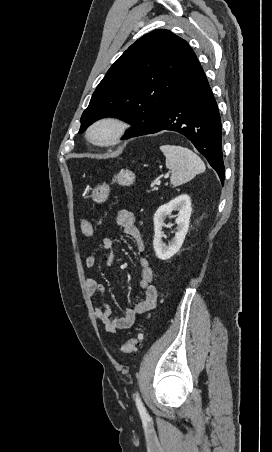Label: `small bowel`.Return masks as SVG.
Returning <instances> with one entry per match:
<instances>
[{
    "mask_svg": "<svg viewBox=\"0 0 272 452\" xmlns=\"http://www.w3.org/2000/svg\"><path fill=\"white\" fill-rule=\"evenodd\" d=\"M135 221L136 218L134 213L129 210H120L117 213L116 224L123 234L130 236L133 239L138 252V262L141 269L138 286L145 291V297L143 300L127 307L124 315L120 318H113L111 316L110 306L105 302H101V304L96 307L95 315L97 319L103 324L105 330L110 333L130 328L141 314L153 309L157 303L158 293L156 288L152 285L153 271L149 265L148 259L143 255L145 244ZM118 244L119 240L114 237H105L98 244V250H105L108 252L105 259L106 265H112L117 262L115 248ZM95 260V253H91L85 258L84 266L87 269L92 268L95 265ZM85 284L91 299L94 300L103 293V286L96 280L87 278Z\"/></svg>",
    "mask_w": 272,
    "mask_h": 452,
    "instance_id": "small-bowel-1",
    "label": "small bowel"
}]
</instances>
